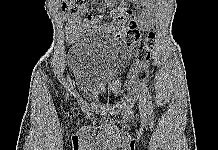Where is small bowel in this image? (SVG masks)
Wrapping results in <instances>:
<instances>
[{
  "mask_svg": "<svg viewBox=\"0 0 218 150\" xmlns=\"http://www.w3.org/2000/svg\"><path fill=\"white\" fill-rule=\"evenodd\" d=\"M85 0L81 5L66 16L69 22L67 41L72 42L80 34L91 31L114 36L117 39L126 38L131 30H147L151 27L156 14L158 0H128L129 3L141 7L137 14L128 4H122L111 11L112 20L101 23L106 17L108 7L115 5V0H105V4L96 12H89V2ZM86 15L85 18L81 16ZM74 52L71 53V60Z\"/></svg>",
  "mask_w": 218,
  "mask_h": 150,
  "instance_id": "small-bowel-1",
  "label": "small bowel"
}]
</instances>
